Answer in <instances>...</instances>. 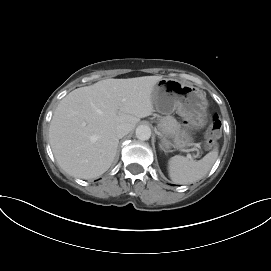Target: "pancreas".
<instances>
[{
	"mask_svg": "<svg viewBox=\"0 0 271 271\" xmlns=\"http://www.w3.org/2000/svg\"><path fill=\"white\" fill-rule=\"evenodd\" d=\"M159 129L164 133L173 134L176 131H180V125L174 117L168 115L161 117Z\"/></svg>",
	"mask_w": 271,
	"mask_h": 271,
	"instance_id": "1",
	"label": "pancreas"
}]
</instances>
